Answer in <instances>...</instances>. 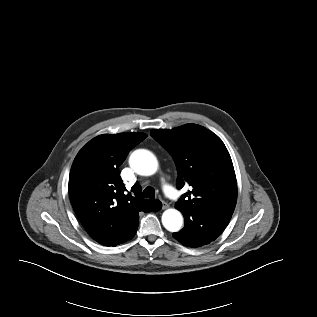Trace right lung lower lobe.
Returning <instances> with one entry per match:
<instances>
[{
  "label": "right lung lower lobe",
  "mask_w": 317,
  "mask_h": 317,
  "mask_svg": "<svg viewBox=\"0 0 317 317\" xmlns=\"http://www.w3.org/2000/svg\"><path fill=\"white\" fill-rule=\"evenodd\" d=\"M161 207H162V204H161L160 201H158V202H156V204H154V205H153L149 210H147L146 212H150V211L157 212V211H159V210L161 209ZM137 228H138V224L135 226L134 230L132 231V233L130 234V236H129V238H128L127 240L131 239V238L135 235V233H136V231H137ZM90 236H91V235H90ZM91 237H92L94 240H96L98 243L104 245V244H103L104 240H103L101 237H98L97 235H94V236H91ZM127 240H126V241H127ZM126 241H125V242H126Z\"/></svg>",
  "instance_id": "1"
}]
</instances>
